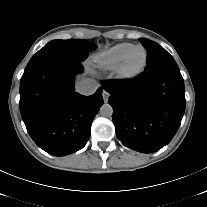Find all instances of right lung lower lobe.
Segmentation results:
<instances>
[{
    "label": "right lung lower lobe",
    "mask_w": 207,
    "mask_h": 207,
    "mask_svg": "<svg viewBox=\"0 0 207 207\" xmlns=\"http://www.w3.org/2000/svg\"><path fill=\"white\" fill-rule=\"evenodd\" d=\"M80 61L51 57L25 68L20 81V112L38 147L54 156L82 149L103 104L102 88L91 96L74 91Z\"/></svg>",
    "instance_id": "obj_1"
}]
</instances>
